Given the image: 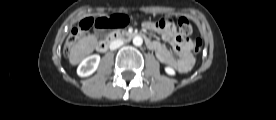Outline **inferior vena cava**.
<instances>
[{
  "instance_id": "inferior-vena-cava-1",
  "label": "inferior vena cava",
  "mask_w": 276,
  "mask_h": 120,
  "mask_svg": "<svg viewBox=\"0 0 276 120\" xmlns=\"http://www.w3.org/2000/svg\"><path fill=\"white\" fill-rule=\"evenodd\" d=\"M123 45V41L120 39L114 40L110 43V49L115 50Z\"/></svg>"
}]
</instances>
